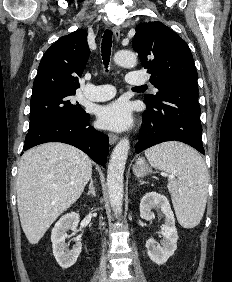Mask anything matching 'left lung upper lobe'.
I'll use <instances>...</instances> for the list:
<instances>
[{
	"label": "left lung upper lobe",
	"mask_w": 232,
	"mask_h": 282,
	"mask_svg": "<svg viewBox=\"0 0 232 282\" xmlns=\"http://www.w3.org/2000/svg\"><path fill=\"white\" fill-rule=\"evenodd\" d=\"M142 66L151 74L156 95L144 102L157 104L167 91L198 92L197 72L187 43L161 22L138 25L132 43Z\"/></svg>",
	"instance_id": "left-lung-upper-lobe-1"
}]
</instances>
